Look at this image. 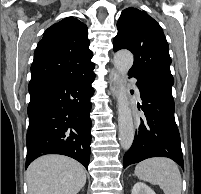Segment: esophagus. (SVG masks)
<instances>
[{"mask_svg": "<svg viewBox=\"0 0 201 194\" xmlns=\"http://www.w3.org/2000/svg\"><path fill=\"white\" fill-rule=\"evenodd\" d=\"M118 81L119 75L115 69H112L109 75V84H110V91L114 99L117 98L118 95Z\"/></svg>", "mask_w": 201, "mask_h": 194, "instance_id": "esophagus-1", "label": "esophagus"}]
</instances>
